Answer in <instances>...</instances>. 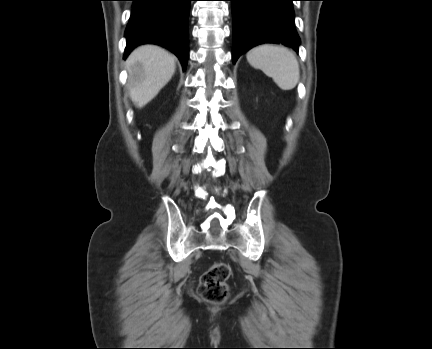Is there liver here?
Here are the masks:
<instances>
[{"label": "liver", "instance_id": "1", "mask_svg": "<svg viewBox=\"0 0 432 349\" xmlns=\"http://www.w3.org/2000/svg\"><path fill=\"white\" fill-rule=\"evenodd\" d=\"M176 58L155 45H142L128 56L126 69L133 103L142 108L170 81Z\"/></svg>", "mask_w": 432, "mask_h": 349}]
</instances>
